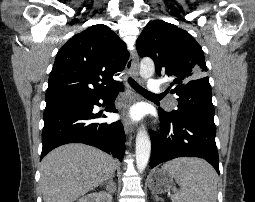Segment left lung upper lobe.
<instances>
[{
    "label": "left lung upper lobe",
    "mask_w": 255,
    "mask_h": 202,
    "mask_svg": "<svg viewBox=\"0 0 255 202\" xmlns=\"http://www.w3.org/2000/svg\"><path fill=\"white\" fill-rule=\"evenodd\" d=\"M138 54L151 57L159 76L171 78V93L179 96L178 109L169 117L201 116L214 120L211 87L204 53L185 30L162 20L150 22L136 42ZM170 87L168 90H170Z\"/></svg>",
    "instance_id": "1"
}]
</instances>
